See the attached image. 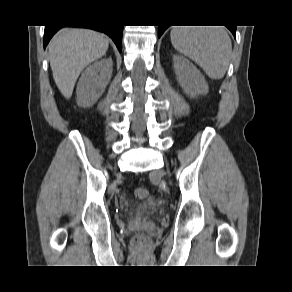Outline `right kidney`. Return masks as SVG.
Here are the masks:
<instances>
[{"label": "right kidney", "instance_id": "1", "mask_svg": "<svg viewBox=\"0 0 292 292\" xmlns=\"http://www.w3.org/2000/svg\"><path fill=\"white\" fill-rule=\"evenodd\" d=\"M112 58H104L89 65L77 84V104L92 106L104 92L112 76Z\"/></svg>", "mask_w": 292, "mask_h": 292}]
</instances>
